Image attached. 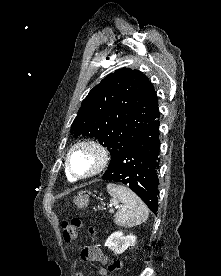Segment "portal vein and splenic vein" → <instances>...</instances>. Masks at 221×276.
I'll use <instances>...</instances> for the list:
<instances>
[{
	"instance_id": "1",
	"label": "portal vein and splenic vein",
	"mask_w": 221,
	"mask_h": 276,
	"mask_svg": "<svg viewBox=\"0 0 221 276\" xmlns=\"http://www.w3.org/2000/svg\"><path fill=\"white\" fill-rule=\"evenodd\" d=\"M116 208H119V206H116ZM110 213H113L114 212V209H113V207H112V205L110 206Z\"/></svg>"
}]
</instances>
